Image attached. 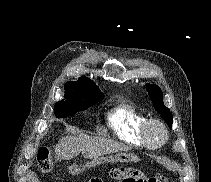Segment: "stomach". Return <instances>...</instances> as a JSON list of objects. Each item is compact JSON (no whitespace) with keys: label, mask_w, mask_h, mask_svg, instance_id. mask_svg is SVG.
<instances>
[{"label":"stomach","mask_w":211,"mask_h":182,"mask_svg":"<svg viewBox=\"0 0 211 182\" xmlns=\"http://www.w3.org/2000/svg\"><path fill=\"white\" fill-rule=\"evenodd\" d=\"M131 158H133L132 155L123 154V153L114 156V159L119 162H126V161H129Z\"/></svg>","instance_id":"0dacf381"}]
</instances>
